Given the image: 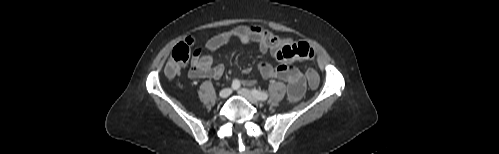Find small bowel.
Listing matches in <instances>:
<instances>
[{
    "label": "small bowel",
    "mask_w": 499,
    "mask_h": 154,
    "mask_svg": "<svg viewBox=\"0 0 499 154\" xmlns=\"http://www.w3.org/2000/svg\"><path fill=\"white\" fill-rule=\"evenodd\" d=\"M231 40L256 45L262 53L270 52L278 64L273 66L260 63L258 69L262 77L287 83V95L291 102H297L302 97L306 88V79L292 64L312 59L315 55L314 49L306 42H295L291 38L275 35L256 25L239 26L209 39L205 44L204 53L201 49H196L188 71L189 77L215 80L221 78L225 68L222 64L213 65L212 53ZM250 72L251 68L244 69L245 74ZM245 83L252 84L254 81Z\"/></svg>",
    "instance_id": "1"
}]
</instances>
